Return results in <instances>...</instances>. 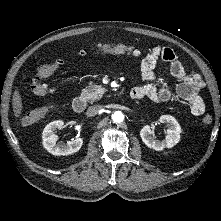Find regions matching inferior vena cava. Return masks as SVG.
Instances as JSON below:
<instances>
[{"label":"inferior vena cava","mask_w":221,"mask_h":221,"mask_svg":"<svg viewBox=\"0 0 221 221\" xmlns=\"http://www.w3.org/2000/svg\"><path fill=\"white\" fill-rule=\"evenodd\" d=\"M101 106L100 105H93V106H90L86 112V115L88 117H92V116H95L96 114H98V112L101 110Z\"/></svg>","instance_id":"602c4592"}]
</instances>
